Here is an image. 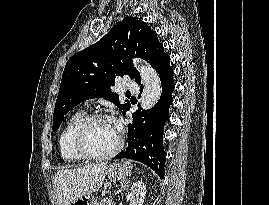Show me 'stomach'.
<instances>
[{
    "mask_svg": "<svg viewBox=\"0 0 269 205\" xmlns=\"http://www.w3.org/2000/svg\"><path fill=\"white\" fill-rule=\"evenodd\" d=\"M132 168V165L127 161L113 163L107 168L106 175L112 182H122L130 176ZM70 205H93V200L89 195H86L73 200Z\"/></svg>",
    "mask_w": 269,
    "mask_h": 205,
    "instance_id": "stomach-1",
    "label": "stomach"
}]
</instances>
